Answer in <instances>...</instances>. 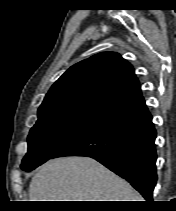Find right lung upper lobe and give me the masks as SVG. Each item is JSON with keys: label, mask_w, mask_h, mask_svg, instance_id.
Wrapping results in <instances>:
<instances>
[{"label": "right lung upper lobe", "mask_w": 176, "mask_h": 211, "mask_svg": "<svg viewBox=\"0 0 176 211\" xmlns=\"http://www.w3.org/2000/svg\"><path fill=\"white\" fill-rule=\"evenodd\" d=\"M145 105L132 65L102 52L70 67L51 87L38 115L66 113L103 120Z\"/></svg>", "instance_id": "right-lung-upper-lobe-1"}]
</instances>
